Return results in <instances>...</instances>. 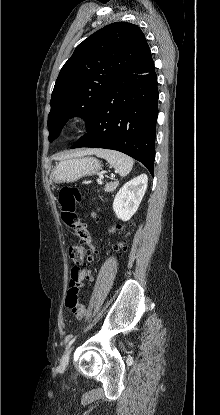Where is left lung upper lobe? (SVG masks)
<instances>
[{
  "instance_id": "left-lung-upper-lobe-1",
  "label": "left lung upper lobe",
  "mask_w": 220,
  "mask_h": 415,
  "mask_svg": "<svg viewBox=\"0 0 220 415\" xmlns=\"http://www.w3.org/2000/svg\"><path fill=\"white\" fill-rule=\"evenodd\" d=\"M151 59L145 35L127 22L109 24L80 43L52 92L49 141L71 117H82L88 125L114 81L141 70Z\"/></svg>"
}]
</instances>
